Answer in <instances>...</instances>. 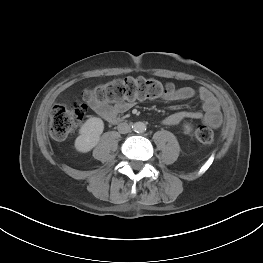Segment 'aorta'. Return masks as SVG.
<instances>
[{
    "instance_id": "762f6f07",
    "label": "aorta",
    "mask_w": 263,
    "mask_h": 263,
    "mask_svg": "<svg viewBox=\"0 0 263 263\" xmlns=\"http://www.w3.org/2000/svg\"><path fill=\"white\" fill-rule=\"evenodd\" d=\"M133 128L135 132L143 133L146 131V124L143 122H136Z\"/></svg>"
}]
</instances>
